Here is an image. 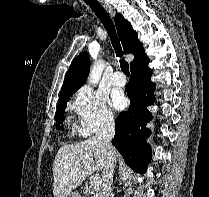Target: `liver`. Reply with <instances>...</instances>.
Masks as SVG:
<instances>
[{
    "instance_id": "1",
    "label": "liver",
    "mask_w": 209,
    "mask_h": 197,
    "mask_svg": "<svg viewBox=\"0 0 209 197\" xmlns=\"http://www.w3.org/2000/svg\"><path fill=\"white\" fill-rule=\"evenodd\" d=\"M105 164L106 148L97 136L62 146L53 162L54 197H67L88 176L102 171Z\"/></svg>"
}]
</instances>
